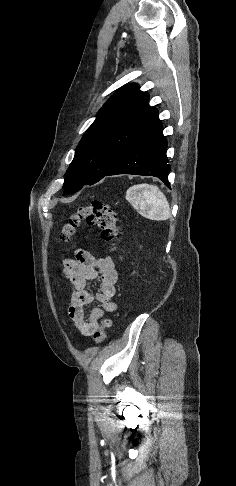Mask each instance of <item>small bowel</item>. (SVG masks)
I'll return each mask as SVG.
<instances>
[{"label": "small bowel", "mask_w": 236, "mask_h": 486, "mask_svg": "<svg viewBox=\"0 0 236 486\" xmlns=\"http://www.w3.org/2000/svg\"><path fill=\"white\" fill-rule=\"evenodd\" d=\"M65 276L74 287L68 314L74 328L83 336H92L98 329L99 320L106 314L117 310V304L112 300L115 295V285L118 272L111 257L95 258L85 251H78L74 259L64 261ZM100 280L97 294L93 295L87 286L95 279ZM97 301L98 305L91 309L88 317L84 307Z\"/></svg>", "instance_id": "obj_1"}]
</instances>
